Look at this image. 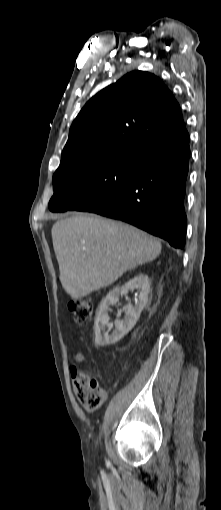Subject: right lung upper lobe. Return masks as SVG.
Wrapping results in <instances>:
<instances>
[{"label":"right lung upper lobe","instance_id":"cb5924a9","mask_svg":"<svg viewBox=\"0 0 221 510\" xmlns=\"http://www.w3.org/2000/svg\"><path fill=\"white\" fill-rule=\"evenodd\" d=\"M187 133L180 106L153 74L131 72L91 98L73 121L61 162L123 147L149 150Z\"/></svg>","mask_w":221,"mask_h":510}]
</instances>
